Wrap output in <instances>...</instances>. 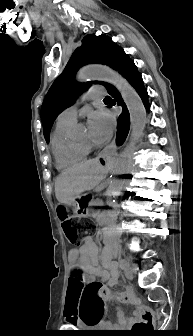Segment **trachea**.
Instances as JSON below:
<instances>
[{"label":"trachea","instance_id":"1","mask_svg":"<svg viewBox=\"0 0 193 336\" xmlns=\"http://www.w3.org/2000/svg\"><path fill=\"white\" fill-rule=\"evenodd\" d=\"M111 98L109 96H107L104 100H110Z\"/></svg>","mask_w":193,"mask_h":336}]
</instances>
